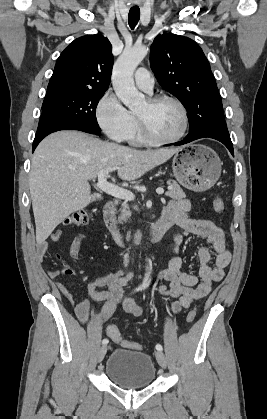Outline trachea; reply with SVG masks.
Listing matches in <instances>:
<instances>
[{"mask_svg": "<svg viewBox=\"0 0 267 419\" xmlns=\"http://www.w3.org/2000/svg\"><path fill=\"white\" fill-rule=\"evenodd\" d=\"M140 19L139 7H132L128 14V23L131 29H134Z\"/></svg>", "mask_w": 267, "mask_h": 419, "instance_id": "1", "label": "trachea"}]
</instances>
